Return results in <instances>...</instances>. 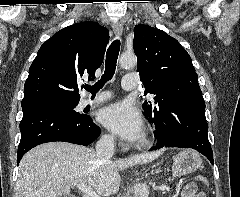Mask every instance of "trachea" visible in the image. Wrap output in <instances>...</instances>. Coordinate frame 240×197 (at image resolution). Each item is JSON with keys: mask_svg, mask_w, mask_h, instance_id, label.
<instances>
[{"mask_svg": "<svg viewBox=\"0 0 240 197\" xmlns=\"http://www.w3.org/2000/svg\"><path fill=\"white\" fill-rule=\"evenodd\" d=\"M120 51V40H114L111 45L109 46L107 53H106V60H105V71L102 75L101 79L93 86L85 85L84 89L91 92L92 94H96L104 84L111 80L114 76L117 59Z\"/></svg>", "mask_w": 240, "mask_h": 197, "instance_id": "trachea-1", "label": "trachea"}]
</instances>
